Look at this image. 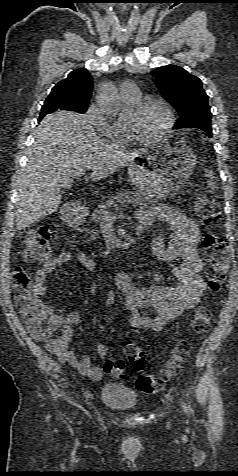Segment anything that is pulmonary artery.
<instances>
[{
	"label": "pulmonary artery",
	"instance_id": "pulmonary-artery-1",
	"mask_svg": "<svg viewBox=\"0 0 238 476\" xmlns=\"http://www.w3.org/2000/svg\"><path fill=\"white\" fill-rule=\"evenodd\" d=\"M120 93L124 100L127 101H138L140 98V89L133 82H124L120 86Z\"/></svg>",
	"mask_w": 238,
	"mask_h": 476
}]
</instances>
